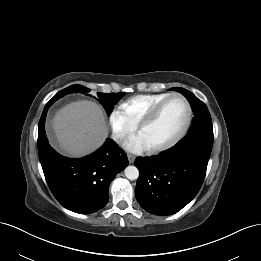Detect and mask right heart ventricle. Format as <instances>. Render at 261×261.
<instances>
[{
  "instance_id": "1",
  "label": "right heart ventricle",
  "mask_w": 261,
  "mask_h": 261,
  "mask_svg": "<svg viewBox=\"0 0 261 261\" xmlns=\"http://www.w3.org/2000/svg\"><path fill=\"white\" fill-rule=\"evenodd\" d=\"M169 93L141 94L133 96L121 104V109L129 121L137 124L149 113V111Z\"/></svg>"
}]
</instances>
